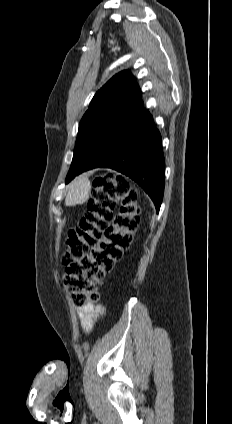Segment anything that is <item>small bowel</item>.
Here are the masks:
<instances>
[{"label":"small bowel","instance_id":"small-bowel-1","mask_svg":"<svg viewBox=\"0 0 232 424\" xmlns=\"http://www.w3.org/2000/svg\"><path fill=\"white\" fill-rule=\"evenodd\" d=\"M106 309L102 304H92L87 308L80 309L77 313L81 323L82 330L85 334H89L94 326L105 315Z\"/></svg>","mask_w":232,"mask_h":424}]
</instances>
